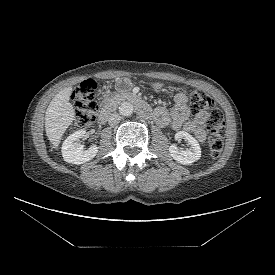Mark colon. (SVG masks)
Segmentation results:
<instances>
[{
  "label": "colon",
  "instance_id": "5ec220e1",
  "mask_svg": "<svg viewBox=\"0 0 275 275\" xmlns=\"http://www.w3.org/2000/svg\"><path fill=\"white\" fill-rule=\"evenodd\" d=\"M96 84L93 80L83 81L72 93V100L76 109L75 125L78 128L90 126L98 109L95 99ZM190 111L198 114L209 110L207 120L208 147L206 155L208 158H217L223 146L225 133V121L222 112L215 107L212 98L201 90H194L190 94Z\"/></svg>",
  "mask_w": 275,
  "mask_h": 275
}]
</instances>
